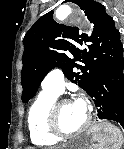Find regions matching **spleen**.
<instances>
[{"label":"spleen","instance_id":"spleen-1","mask_svg":"<svg viewBox=\"0 0 124 149\" xmlns=\"http://www.w3.org/2000/svg\"><path fill=\"white\" fill-rule=\"evenodd\" d=\"M95 135L99 149H120L122 145V137L120 130L110 123H103L97 130ZM122 135V134H121Z\"/></svg>","mask_w":124,"mask_h":149}]
</instances>
